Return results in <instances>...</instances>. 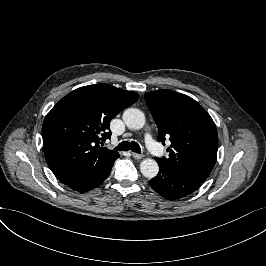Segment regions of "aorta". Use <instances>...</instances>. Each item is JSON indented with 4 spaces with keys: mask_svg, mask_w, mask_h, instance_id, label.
Instances as JSON below:
<instances>
[{
    "mask_svg": "<svg viewBox=\"0 0 266 266\" xmlns=\"http://www.w3.org/2000/svg\"><path fill=\"white\" fill-rule=\"evenodd\" d=\"M124 124L131 129H140L145 122L144 113L138 108H127L122 113ZM140 171L147 179H153L159 172V166L153 159H146L140 164Z\"/></svg>",
    "mask_w": 266,
    "mask_h": 266,
    "instance_id": "762f6f07",
    "label": "aorta"
}]
</instances>
